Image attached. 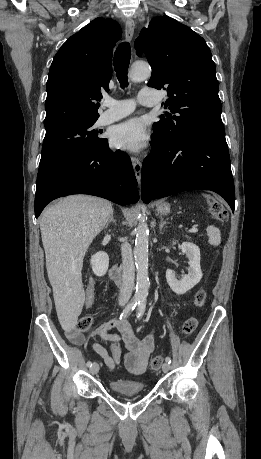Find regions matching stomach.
<instances>
[{
	"label": "stomach",
	"mask_w": 261,
	"mask_h": 459,
	"mask_svg": "<svg viewBox=\"0 0 261 459\" xmlns=\"http://www.w3.org/2000/svg\"><path fill=\"white\" fill-rule=\"evenodd\" d=\"M157 211L160 214H167L170 211V206L168 203H161L157 206Z\"/></svg>",
	"instance_id": "stomach-1"
}]
</instances>
